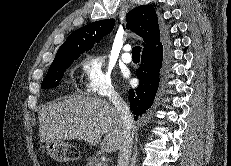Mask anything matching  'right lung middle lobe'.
Segmentation results:
<instances>
[{"instance_id":"right-lung-middle-lobe-1","label":"right lung middle lobe","mask_w":231,"mask_h":166,"mask_svg":"<svg viewBox=\"0 0 231 166\" xmlns=\"http://www.w3.org/2000/svg\"><path fill=\"white\" fill-rule=\"evenodd\" d=\"M78 57L79 56L63 55L55 58L47 72L46 77L42 81L41 87L43 89H48L58 86L66 69Z\"/></svg>"}]
</instances>
